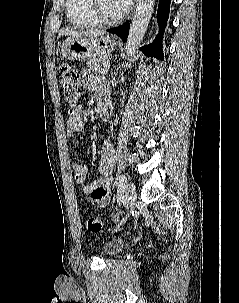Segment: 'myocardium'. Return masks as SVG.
Instances as JSON below:
<instances>
[{"label":"myocardium","instance_id":"myocardium-1","mask_svg":"<svg viewBox=\"0 0 239 303\" xmlns=\"http://www.w3.org/2000/svg\"><path fill=\"white\" fill-rule=\"evenodd\" d=\"M87 9L91 17L99 25H114L120 23L126 16L127 10L116 17H107L101 8V0H88Z\"/></svg>","mask_w":239,"mask_h":303}]
</instances>
